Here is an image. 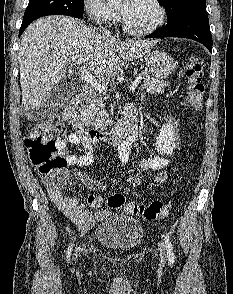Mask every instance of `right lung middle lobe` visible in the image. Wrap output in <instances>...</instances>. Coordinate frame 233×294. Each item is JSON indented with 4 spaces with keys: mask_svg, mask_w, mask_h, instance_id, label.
Returning a JSON list of instances; mask_svg holds the SVG:
<instances>
[{
    "mask_svg": "<svg viewBox=\"0 0 233 294\" xmlns=\"http://www.w3.org/2000/svg\"><path fill=\"white\" fill-rule=\"evenodd\" d=\"M84 0H29L23 17V24L47 15L83 16Z\"/></svg>",
    "mask_w": 233,
    "mask_h": 294,
    "instance_id": "dd1d6c3e",
    "label": "right lung middle lobe"
}]
</instances>
